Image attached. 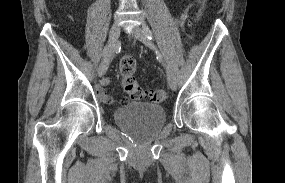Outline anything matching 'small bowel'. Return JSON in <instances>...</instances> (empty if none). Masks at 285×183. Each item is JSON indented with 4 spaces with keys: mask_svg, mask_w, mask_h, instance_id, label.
<instances>
[{
    "mask_svg": "<svg viewBox=\"0 0 285 183\" xmlns=\"http://www.w3.org/2000/svg\"><path fill=\"white\" fill-rule=\"evenodd\" d=\"M101 84H102L101 86L96 88L98 96L105 102H112L113 101L112 97L105 90V87L110 84V79L109 78L102 79Z\"/></svg>",
    "mask_w": 285,
    "mask_h": 183,
    "instance_id": "1",
    "label": "small bowel"
}]
</instances>
